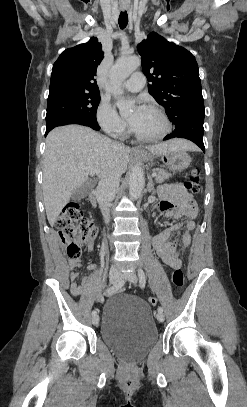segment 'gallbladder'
<instances>
[{
  "label": "gallbladder",
  "mask_w": 247,
  "mask_h": 407,
  "mask_svg": "<svg viewBox=\"0 0 247 407\" xmlns=\"http://www.w3.org/2000/svg\"><path fill=\"white\" fill-rule=\"evenodd\" d=\"M92 188H93V181L88 180L85 184H83L82 186H80L79 188H77L74 191L72 198L74 200L83 199L90 193Z\"/></svg>",
  "instance_id": "bac80fb5"
}]
</instances>
